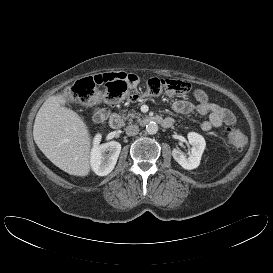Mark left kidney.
<instances>
[{"label": "left kidney", "mask_w": 273, "mask_h": 273, "mask_svg": "<svg viewBox=\"0 0 273 273\" xmlns=\"http://www.w3.org/2000/svg\"><path fill=\"white\" fill-rule=\"evenodd\" d=\"M187 137L189 143L192 145L189 157H186L184 153L178 149H173L172 156L184 169L192 170L199 166L202 154L206 147V142L203 136L195 132L188 133Z\"/></svg>", "instance_id": "5707ae66"}]
</instances>
